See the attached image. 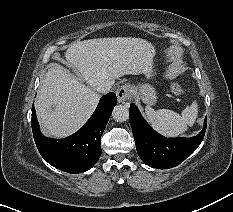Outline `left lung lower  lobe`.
I'll list each match as a JSON object with an SVG mask.
<instances>
[{
  "label": "left lung lower lobe",
  "instance_id": "0a47b994",
  "mask_svg": "<svg viewBox=\"0 0 233 212\" xmlns=\"http://www.w3.org/2000/svg\"><path fill=\"white\" fill-rule=\"evenodd\" d=\"M129 121L139 157L153 168L168 169L182 163L197 149L205 135L207 117L203 130L191 138H165L158 134L141 116L135 104L130 106Z\"/></svg>",
  "mask_w": 233,
  "mask_h": 212
}]
</instances>
